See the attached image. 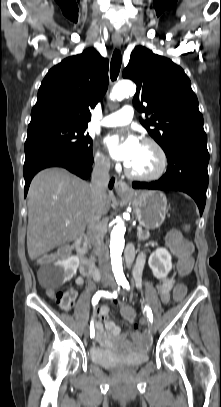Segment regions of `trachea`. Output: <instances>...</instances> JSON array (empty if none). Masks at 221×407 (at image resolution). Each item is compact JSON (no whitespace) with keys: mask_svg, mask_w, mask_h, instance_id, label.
Wrapping results in <instances>:
<instances>
[{"mask_svg":"<svg viewBox=\"0 0 221 407\" xmlns=\"http://www.w3.org/2000/svg\"><path fill=\"white\" fill-rule=\"evenodd\" d=\"M122 63V56L118 49H115L110 63V78L115 81L119 75Z\"/></svg>","mask_w":221,"mask_h":407,"instance_id":"obj_1","label":"trachea"}]
</instances>
